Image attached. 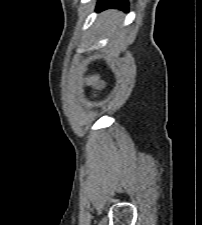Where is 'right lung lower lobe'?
Instances as JSON below:
<instances>
[{
    "label": "right lung lower lobe",
    "mask_w": 202,
    "mask_h": 225,
    "mask_svg": "<svg viewBox=\"0 0 202 225\" xmlns=\"http://www.w3.org/2000/svg\"><path fill=\"white\" fill-rule=\"evenodd\" d=\"M107 8H119L124 11H128L127 0H99L97 4V10H104Z\"/></svg>",
    "instance_id": "1"
}]
</instances>
